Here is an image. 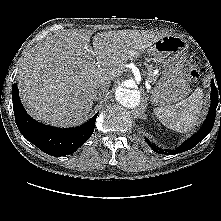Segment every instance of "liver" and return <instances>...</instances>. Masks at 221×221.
Instances as JSON below:
<instances>
[{"label": "liver", "mask_w": 221, "mask_h": 221, "mask_svg": "<svg viewBox=\"0 0 221 221\" xmlns=\"http://www.w3.org/2000/svg\"><path fill=\"white\" fill-rule=\"evenodd\" d=\"M163 35L139 30L91 33L68 30L38 43L18 71L20 99L35 119L52 126L80 124L96 89L119 78L126 63Z\"/></svg>", "instance_id": "obj_1"}]
</instances>
